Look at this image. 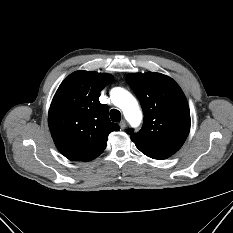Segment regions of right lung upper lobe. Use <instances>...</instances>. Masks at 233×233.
Instances as JSON below:
<instances>
[{
	"mask_svg": "<svg viewBox=\"0 0 233 233\" xmlns=\"http://www.w3.org/2000/svg\"><path fill=\"white\" fill-rule=\"evenodd\" d=\"M109 74L76 71L59 86L49 109L48 124L57 149L71 161H90L106 148L108 135L120 127L101 104Z\"/></svg>",
	"mask_w": 233,
	"mask_h": 233,
	"instance_id": "cb5924a9",
	"label": "right lung upper lobe"
}]
</instances>
